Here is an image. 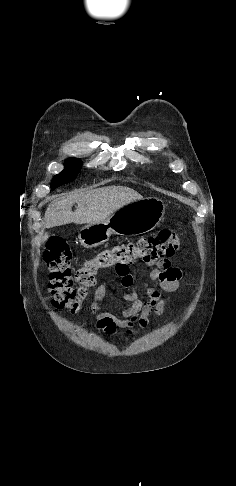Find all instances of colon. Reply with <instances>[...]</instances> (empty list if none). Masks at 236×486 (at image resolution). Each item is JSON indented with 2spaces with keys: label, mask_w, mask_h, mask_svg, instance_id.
<instances>
[{
  "label": "colon",
  "mask_w": 236,
  "mask_h": 486,
  "mask_svg": "<svg viewBox=\"0 0 236 486\" xmlns=\"http://www.w3.org/2000/svg\"><path fill=\"white\" fill-rule=\"evenodd\" d=\"M179 246L180 236L177 232L162 230L135 242L106 248L85 260L75 273L78 286L74 287L72 251L62 238L54 237L44 251V260L50 271L48 288L52 295V303L56 308L76 312L85 300L88 290L95 285L99 270L110 267L120 269L137 260L146 263L156 262L172 256Z\"/></svg>",
  "instance_id": "obj_1"
}]
</instances>
